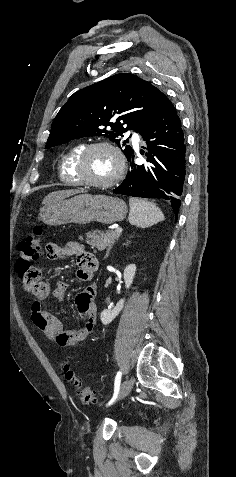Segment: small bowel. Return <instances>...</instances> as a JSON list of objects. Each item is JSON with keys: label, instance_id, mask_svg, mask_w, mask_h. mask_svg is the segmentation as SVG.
Masks as SVG:
<instances>
[{"label": "small bowel", "instance_id": "1", "mask_svg": "<svg viewBox=\"0 0 236 477\" xmlns=\"http://www.w3.org/2000/svg\"><path fill=\"white\" fill-rule=\"evenodd\" d=\"M47 255L53 260L75 257L78 265L77 279L89 282L93 278L97 258L82 244L74 241L67 242L65 245L49 243ZM67 288L68 284L63 280H58L52 290L48 283L41 281L36 292L32 293L34 301L31 304V319L36 328L57 347H82L86 345L95 327L96 287L90 284L76 296L75 306L81 318V324L75 329L65 328L61 321L46 308L49 298L56 303L62 302Z\"/></svg>", "mask_w": 236, "mask_h": 477}]
</instances>
